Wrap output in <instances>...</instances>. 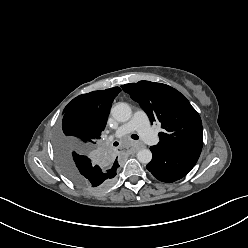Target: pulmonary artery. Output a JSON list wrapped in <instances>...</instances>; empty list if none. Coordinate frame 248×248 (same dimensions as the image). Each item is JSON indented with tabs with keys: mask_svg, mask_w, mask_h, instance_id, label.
Segmentation results:
<instances>
[{
	"mask_svg": "<svg viewBox=\"0 0 248 248\" xmlns=\"http://www.w3.org/2000/svg\"><path fill=\"white\" fill-rule=\"evenodd\" d=\"M137 131L146 142H151L154 133L149 125V119L144 111L138 110L127 123L119 126L109 139L119 138Z\"/></svg>",
	"mask_w": 248,
	"mask_h": 248,
	"instance_id": "obj_1",
	"label": "pulmonary artery"
}]
</instances>
